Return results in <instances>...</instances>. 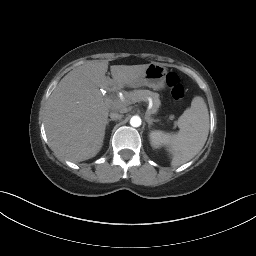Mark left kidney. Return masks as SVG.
Wrapping results in <instances>:
<instances>
[{
	"mask_svg": "<svg viewBox=\"0 0 256 256\" xmlns=\"http://www.w3.org/2000/svg\"><path fill=\"white\" fill-rule=\"evenodd\" d=\"M151 145L154 148L160 147L168 139V135L162 131L154 130L149 134Z\"/></svg>",
	"mask_w": 256,
	"mask_h": 256,
	"instance_id": "obj_1",
	"label": "left kidney"
}]
</instances>
